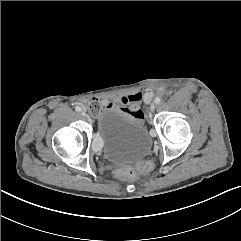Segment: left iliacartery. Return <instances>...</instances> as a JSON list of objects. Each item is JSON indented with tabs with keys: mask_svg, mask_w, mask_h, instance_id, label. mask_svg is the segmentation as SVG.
I'll list each match as a JSON object with an SVG mask.
<instances>
[{
	"mask_svg": "<svg viewBox=\"0 0 241 241\" xmlns=\"http://www.w3.org/2000/svg\"><path fill=\"white\" fill-rule=\"evenodd\" d=\"M154 102H155L156 104H159V103L161 102V98H160V97H156L155 100H154Z\"/></svg>",
	"mask_w": 241,
	"mask_h": 241,
	"instance_id": "44dca946",
	"label": "left iliac artery"
}]
</instances>
